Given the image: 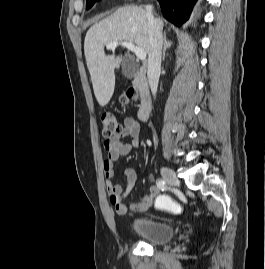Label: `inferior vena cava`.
Here are the masks:
<instances>
[{"label": "inferior vena cava", "instance_id": "1", "mask_svg": "<svg viewBox=\"0 0 265 269\" xmlns=\"http://www.w3.org/2000/svg\"><path fill=\"white\" fill-rule=\"evenodd\" d=\"M146 16L149 27L150 37V53L148 58V82L152 94L155 96L157 92L159 76L161 71V55L163 47L162 29L158 25L152 13V6H146Z\"/></svg>", "mask_w": 265, "mask_h": 269}]
</instances>
